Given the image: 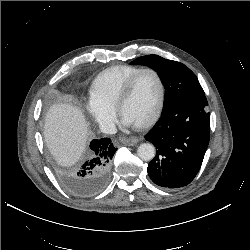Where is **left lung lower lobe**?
<instances>
[{
  "instance_id": "0a47b994",
  "label": "left lung lower lobe",
  "mask_w": 250,
  "mask_h": 250,
  "mask_svg": "<svg viewBox=\"0 0 250 250\" xmlns=\"http://www.w3.org/2000/svg\"><path fill=\"white\" fill-rule=\"evenodd\" d=\"M205 96L183 101L165 112L146 135L156 147L148 164L151 180L162 187L180 188L197 175L210 139V114Z\"/></svg>"
}]
</instances>
